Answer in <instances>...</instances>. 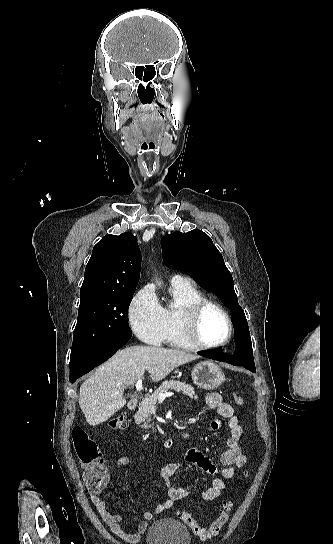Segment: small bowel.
<instances>
[{
    "label": "small bowel",
    "instance_id": "1",
    "mask_svg": "<svg viewBox=\"0 0 333 544\" xmlns=\"http://www.w3.org/2000/svg\"><path fill=\"white\" fill-rule=\"evenodd\" d=\"M206 404L211 409H215L220 417L227 420L229 434L226 439V450L221 454L220 461L225 466L221 471V476L213 479L212 484L202 493L204 501L210 502L217 499L225 488L224 479H232L235 476L236 468H242L247 463L246 456L242 453L240 447V439L243 434V429L235 415L234 408L229 403L223 401L222 396L218 392H210L206 396ZM219 422L213 421L211 424L212 430H217ZM129 459L126 456L119 457L112 467L107 471V479L105 483L97 490H90V497L99 512L103 521L108 525L110 530L128 543H137L147 529L148 522L152 520L154 515L161 514L169 510L174 502L184 499L191 494V489L185 486H175L171 479L176 475L185 464L195 466L209 475H216L218 469L215 463L202 452L195 448H190L186 451L182 462H172L160 466L159 474L165 483L166 499L155 508L153 512L144 510L143 520L139 523L137 531L128 533L121 527L122 516L112 514L106 507L105 500L102 497V492L107 486L110 479L111 469L115 466H123L128 464Z\"/></svg>",
    "mask_w": 333,
    "mask_h": 544
}]
</instances>
